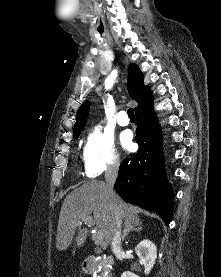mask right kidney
I'll return each instance as SVG.
<instances>
[{
  "mask_svg": "<svg viewBox=\"0 0 221 277\" xmlns=\"http://www.w3.org/2000/svg\"><path fill=\"white\" fill-rule=\"evenodd\" d=\"M135 252L144 265V273L148 275L152 270L157 258V248L153 242L148 239L142 240L135 248ZM121 277H137L134 273L125 271Z\"/></svg>",
  "mask_w": 221,
  "mask_h": 277,
  "instance_id": "obj_1",
  "label": "right kidney"
}]
</instances>
